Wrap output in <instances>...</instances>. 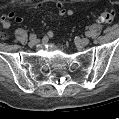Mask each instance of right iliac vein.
Masks as SVG:
<instances>
[{
    "label": "right iliac vein",
    "mask_w": 119,
    "mask_h": 119,
    "mask_svg": "<svg viewBox=\"0 0 119 119\" xmlns=\"http://www.w3.org/2000/svg\"><path fill=\"white\" fill-rule=\"evenodd\" d=\"M28 44L30 47H34L37 45V40L36 39L30 40Z\"/></svg>",
    "instance_id": "right-iliac-vein-1"
}]
</instances>
